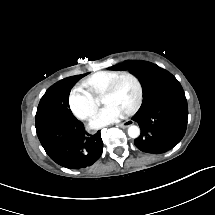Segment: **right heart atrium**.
Returning a JSON list of instances; mask_svg holds the SVG:
<instances>
[{
	"label": "right heart atrium",
	"mask_w": 215,
	"mask_h": 215,
	"mask_svg": "<svg viewBox=\"0 0 215 215\" xmlns=\"http://www.w3.org/2000/svg\"><path fill=\"white\" fill-rule=\"evenodd\" d=\"M69 105L80 119L92 118L97 108L96 102L89 96L81 93L77 88H73L70 93Z\"/></svg>",
	"instance_id": "1"
}]
</instances>
